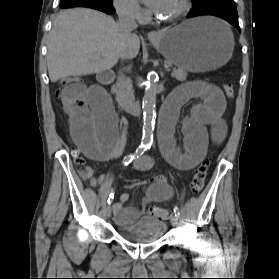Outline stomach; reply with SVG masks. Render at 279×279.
I'll use <instances>...</instances> for the list:
<instances>
[{"label": "stomach", "mask_w": 279, "mask_h": 279, "mask_svg": "<svg viewBox=\"0 0 279 279\" xmlns=\"http://www.w3.org/2000/svg\"><path fill=\"white\" fill-rule=\"evenodd\" d=\"M153 43L171 64L190 72L225 65L234 49L231 30L211 17L195 18L186 25L162 31Z\"/></svg>", "instance_id": "stomach-1"}]
</instances>
